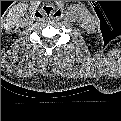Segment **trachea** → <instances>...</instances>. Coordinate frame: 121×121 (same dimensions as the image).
<instances>
[{
    "label": "trachea",
    "mask_w": 121,
    "mask_h": 121,
    "mask_svg": "<svg viewBox=\"0 0 121 121\" xmlns=\"http://www.w3.org/2000/svg\"><path fill=\"white\" fill-rule=\"evenodd\" d=\"M41 10H42L43 15H44L46 18H51V17H53V15H54V13H55L54 9H53L50 5H48V4L43 5V7H42Z\"/></svg>",
    "instance_id": "obj_1"
}]
</instances>
